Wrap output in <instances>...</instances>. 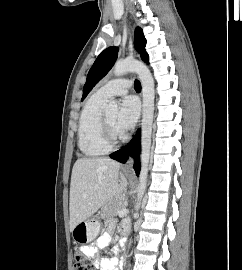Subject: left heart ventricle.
<instances>
[{"label": "left heart ventricle", "instance_id": "1", "mask_svg": "<svg viewBox=\"0 0 242 270\" xmlns=\"http://www.w3.org/2000/svg\"><path fill=\"white\" fill-rule=\"evenodd\" d=\"M107 119L110 123V125L114 128L115 131L121 132V130L117 126V117H118V112L113 111V112H108L106 113Z\"/></svg>", "mask_w": 242, "mask_h": 270}]
</instances>
